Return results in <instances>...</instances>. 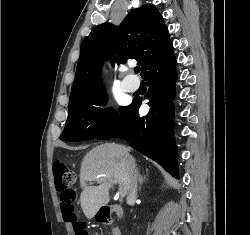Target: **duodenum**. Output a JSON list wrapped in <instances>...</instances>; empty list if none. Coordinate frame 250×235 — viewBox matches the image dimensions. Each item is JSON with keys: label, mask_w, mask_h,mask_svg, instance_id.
I'll return each mask as SVG.
<instances>
[{"label": "duodenum", "mask_w": 250, "mask_h": 235, "mask_svg": "<svg viewBox=\"0 0 250 235\" xmlns=\"http://www.w3.org/2000/svg\"><path fill=\"white\" fill-rule=\"evenodd\" d=\"M122 213V208L119 205H110L106 207L101 212L100 222L111 223L114 216H120ZM112 235H121V230L119 227L114 226L112 228Z\"/></svg>", "instance_id": "duodenum-1"}]
</instances>
